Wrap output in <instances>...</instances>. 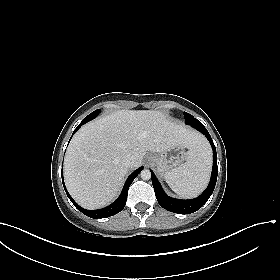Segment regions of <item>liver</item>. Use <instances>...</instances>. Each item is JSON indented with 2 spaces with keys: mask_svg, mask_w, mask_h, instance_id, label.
<instances>
[{
  "mask_svg": "<svg viewBox=\"0 0 280 280\" xmlns=\"http://www.w3.org/2000/svg\"><path fill=\"white\" fill-rule=\"evenodd\" d=\"M194 150L207 145L195 130L154 110H119L85 124L72 138L64 159V179L71 196L84 208L98 209L120 191L129 169L139 167L147 151L173 146ZM135 162L126 167L123 157Z\"/></svg>",
  "mask_w": 280,
  "mask_h": 280,
  "instance_id": "1",
  "label": "liver"
}]
</instances>
